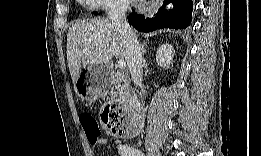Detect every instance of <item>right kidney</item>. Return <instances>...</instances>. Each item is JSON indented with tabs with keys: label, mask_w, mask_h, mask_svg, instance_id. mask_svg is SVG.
I'll return each mask as SVG.
<instances>
[{
	"label": "right kidney",
	"mask_w": 261,
	"mask_h": 156,
	"mask_svg": "<svg viewBox=\"0 0 261 156\" xmlns=\"http://www.w3.org/2000/svg\"><path fill=\"white\" fill-rule=\"evenodd\" d=\"M175 54V50L170 44L161 45L156 53V62L161 67L170 68L173 66V56Z\"/></svg>",
	"instance_id": "1"
}]
</instances>
